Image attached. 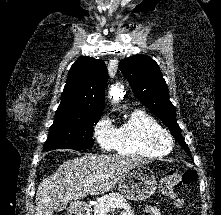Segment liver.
<instances>
[{"label": "liver", "instance_id": "obj_1", "mask_svg": "<svg viewBox=\"0 0 221 215\" xmlns=\"http://www.w3.org/2000/svg\"><path fill=\"white\" fill-rule=\"evenodd\" d=\"M142 163L139 158L108 154H85L64 161L39 185L35 215H52L56 204L62 201L109 192L129 170Z\"/></svg>", "mask_w": 221, "mask_h": 215}]
</instances>
